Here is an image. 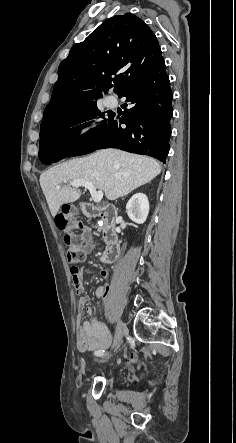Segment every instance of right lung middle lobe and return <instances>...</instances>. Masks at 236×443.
<instances>
[{"label": "right lung middle lobe", "instance_id": "right-lung-middle-lobe-1", "mask_svg": "<svg viewBox=\"0 0 236 443\" xmlns=\"http://www.w3.org/2000/svg\"><path fill=\"white\" fill-rule=\"evenodd\" d=\"M104 114L105 113H100L96 102L93 101L80 108L60 113L43 120L40 126L39 148L53 145H71L75 143L86 135L77 137L82 127L90 125V122L87 121L97 117L100 118ZM94 129L89 130L88 133Z\"/></svg>", "mask_w": 236, "mask_h": 443}]
</instances>
